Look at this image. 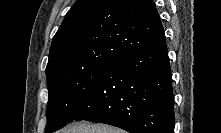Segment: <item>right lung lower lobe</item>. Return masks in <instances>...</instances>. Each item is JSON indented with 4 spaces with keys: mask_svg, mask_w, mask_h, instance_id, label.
I'll return each instance as SVG.
<instances>
[{
    "mask_svg": "<svg viewBox=\"0 0 221 133\" xmlns=\"http://www.w3.org/2000/svg\"><path fill=\"white\" fill-rule=\"evenodd\" d=\"M173 101L163 41L112 63L72 121L106 123L130 133H173Z\"/></svg>",
    "mask_w": 221,
    "mask_h": 133,
    "instance_id": "right-lung-lower-lobe-1",
    "label": "right lung lower lobe"
}]
</instances>
